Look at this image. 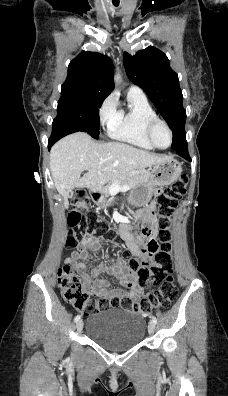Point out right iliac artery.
Here are the masks:
<instances>
[{
	"instance_id": "82829eb1",
	"label": "right iliac artery",
	"mask_w": 228,
	"mask_h": 396,
	"mask_svg": "<svg viewBox=\"0 0 228 396\" xmlns=\"http://www.w3.org/2000/svg\"><path fill=\"white\" fill-rule=\"evenodd\" d=\"M80 320V315H77L74 319L75 322H78Z\"/></svg>"
}]
</instances>
